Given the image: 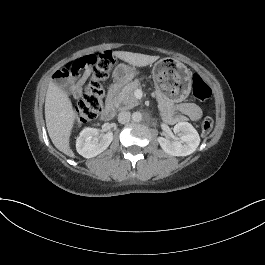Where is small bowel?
<instances>
[{
  "mask_svg": "<svg viewBox=\"0 0 265 265\" xmlns=\"http://www.w3.org/2000/svg\"><path fill=\"white\" fill-rule=\"evenodd\" d=\"M90 76L91 72L89 70H86L73 82L71 93L75 98H78L81 95L83 86ZM178 110L193 121H198L202 117V110L195 103H180L178 105Z\"/></svg>",
  "mask_w": 265,
  "mask_h": 265,
  "instance_id": "1",
  "label": "small bowel"
}]
</instances>
